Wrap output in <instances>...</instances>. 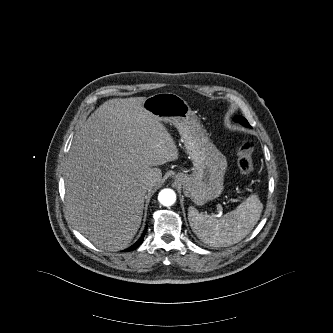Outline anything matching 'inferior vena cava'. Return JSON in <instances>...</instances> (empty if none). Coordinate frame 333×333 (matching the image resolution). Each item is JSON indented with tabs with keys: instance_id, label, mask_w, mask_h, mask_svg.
Masks as SVG:
<instances>
[{
	"instance_id": "obj_1",
	"label": "inferior vena cava",
	"mask_w": 333,
	"mask_h": 333,
	"mask_svg": "<svg viewBox=\"0 0 333 333\" xmlns=\"http://www.w3.org/2000/svg\"><path fill=\"white\" fill-rule=\"evenodd\" d=\"M156 182H157V178H156V176H154V174H152L147 177V179L144 181V184L147 187H152L156 184Z\"/></svg>"
}]
</instances>
